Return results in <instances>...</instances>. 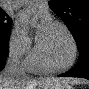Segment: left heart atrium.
Segmentation results:
<instances>
[{
  "mask_svg": "<svg viewBox=\"0 0 89 89\" xmlns=\"http://www.w3.org/2000/svg\"><path fill=\"white\" fill-rule=\"evenodd\" d=\"M33 14L34 11L27 9L20 14V19L23 23L28 24ZM40 15H41V23L36 30L38 38L41 37L45 33V31L49 28V26L52 24L50 17L46 13H41Z\"/></svg>",
  "mask_w": 89,
  "mask_h": 89,
  "instance_id": "1",
  "label": "left heart atrium"
}]
</instances>
